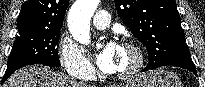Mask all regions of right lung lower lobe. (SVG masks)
<instances>
[{
	"mask_svg": "<svg viewBox=\"0 0 205 87\" xmlns=\"http://www.w3.org/2000/svg\"><path fill=\"white\" fill-rule=\"evenodd\" d=\"M32 64H39L37 62L34 61H27V60H18V61H12L8 63L6 72L3 76L2 79V83H4L6 81V79L14 72L16 71L18 68H21L23 66L26 65H32Z\"/></svg>",
	"mask_w": 205,
	"mask_h": 87,
	"instance_id": "1",
	"label": "right lung lower lobe"
}]
</instances>
